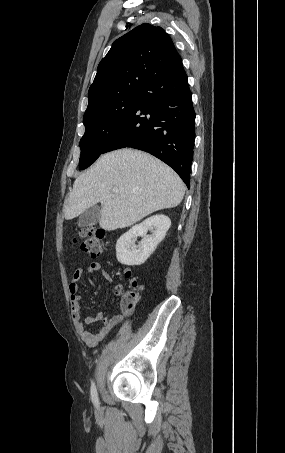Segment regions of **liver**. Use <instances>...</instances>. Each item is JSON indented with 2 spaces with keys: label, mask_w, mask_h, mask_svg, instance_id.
Instances as JSON below:
<instances>
[{
  "label": "liver",
  "mask_w": 285,
  "mask_h": 453,
  "mask_svg": "<svg viewBox=\"0 0 285 453\" xmlns=\"http://www.w3.org/2000/svg\"><path fill=\"white\" fill-rule=\"evenodd\" d=\"M184 194L183 181L169 166L150 154L124 148L100 156L76 178L64 216L71 220L100 202L99 225L112 231L178 206Z\"/></svg>",
  "instance_id": "liver-1"
}]
</instances>
